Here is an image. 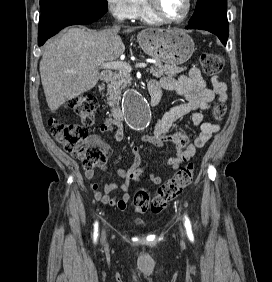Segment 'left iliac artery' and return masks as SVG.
<instances>
[{
  "mask_svg": "<svg viewBox=\"0 0 272 282\" xmlns=\"http://www.w3.org/2000/svg\"><path fill=\"white\" fill-rule=\"evenodd\" d=\"M184 219H185L184 225H185V228H186V231H187V235H188L189 239L191 241H193L194 240V236H193V233H192L190 220H189L187 215L184 216Z\"/></svg>",
  "mask_w": 272,
  "mask_h": 282,
  "instance_id": "44dca946",
  "label": "left iliac artery"
}]
</instances>
